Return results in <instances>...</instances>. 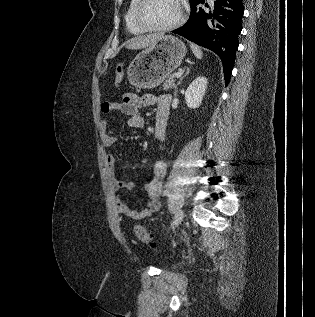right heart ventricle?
Returning a JSON list of instances; mask_svg holds the SVG:
<instances>
[{
  "instance_id": "right-heart-ventricle-1",
  "label": "right heart ventricle",
  "mask_w": 315,
  "mask_h": 317,
  "mask_svg": "<svg viewBox=\"0 0 315 317\" xmlns=\"http://www.w3.org/2000/svg\"><path fill=\"white\" fill-rule=\"evenodd\" d=\"M138 0H130L127 11L125 13V24L127 30L133 35H140L144 33V30L139 28L134 20V10Z\"/></svg>"
}]
</instances>
